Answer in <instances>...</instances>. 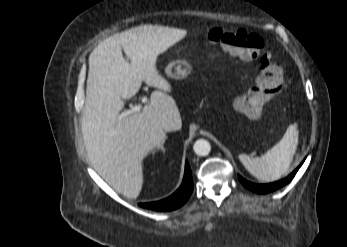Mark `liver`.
<instances>
[{
  "label": "liver",
  "instance_id": "liver-1",
  "mask_svg": "<svg viewBox=\"0 0 347 247\" xmlns=\"http://www.w3.org/2000/svg\"><path fill=\"white\" fill-rule=\"evenodd\" d=\"M186 35L185 30L158 25L139 26L102 41L89 56L82 134L88 158L97 173L118 193L137 198L143 186V160L165 141L161 127L170 119L182 127L171 86L156 68L159 54ZM122 49L131 60L128 63ZM154 91L141 112L118 120L124 100L142 82Z\"/></svg>",
  "mask_w": 347,
  "mask_h": 247
}]
</instances>
